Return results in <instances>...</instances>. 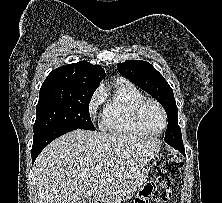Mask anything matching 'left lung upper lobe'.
Returning <instances> with one entry per match:
<instances>
[{"mask_svg": "<svg viewBox=\"0 0 222 203\" xmlns=\"http://www.w3.org/2000/svg\"><path fill=\"white\" fill-rule=\"evenodd\" d=\"M117 69L164 106L168 118L164 141L168 144L183 143L173 90L163 76L150 63L141 60H127L119 63Z\"/></svg>", "mask_w": 222, "mask_h": 203, "instance_id": "5c2ea615", "label": "left lung upper lobe"}]
</instances>
